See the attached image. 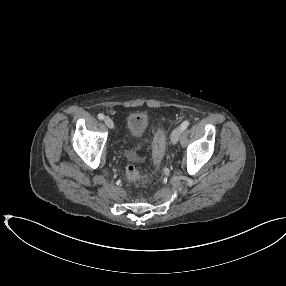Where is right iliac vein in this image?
<instances>
[{
	"label": "right iliac vein",
	"mask_w": 286,
	"mask_h": 286,
	"mask_svg": "<svg viewBox=\"0 0 286 286\" xmlns=\"http://www.w3.org/2000/svg\"><path fill=\"white\" fill-rule=\"evenodd\" d=\"M104 122H105V124H106V126H107L108 128H110V129H113V128H114V122H113V120H112L111 118L106 117V118L104 119Z\"/></svg>",
	"instance_id": "63e3f726"
}]
</instances>
